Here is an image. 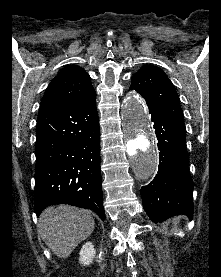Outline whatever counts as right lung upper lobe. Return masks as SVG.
Here are the masks:
<instances>
[{
	"mask_svg": "<svg viewBox=\"0 0 221 277\" xmlns=\"http://www.w3.org/2000/svg\"><path fill=\"white\" fill-rule=\"evenodd\" d=\"M90 76L78 66H67L48 85L40 107L59 106L91 95Z\"/></svg>",
	"mask_w": 221,
	"mask_h": 277,
	"instance_id": "obj_1",
	"label": "right lung upper lobe"
}]
</instances>
